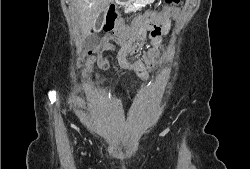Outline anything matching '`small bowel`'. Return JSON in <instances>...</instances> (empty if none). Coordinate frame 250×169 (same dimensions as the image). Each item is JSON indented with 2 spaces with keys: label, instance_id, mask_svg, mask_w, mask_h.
<instances>
[{
  "label": "small bowel",
  "instance_id": "c3829d8e",
  "mask_svg": "<svg viewBox=\"0 0 250 169\" xmlns=\"http://www.w3.org/2000/svg\"><path fill=\"white\" fill-rule=\"evenodd\" d=\"M153 24V23H152ZM138 26V22H134L133 25L129 28L125 27V29L121 32L115 34H108L104 36L98 46L97 49L94 50L92 55V61L97 62L100 66H108L107 59L99 60V56L104 53L106 50H110L114 47L115 44L120 45V50L117 55V60L121 67L127 69H133L137 75L143 76L145 73V67L142 61H136L135 63H130L127 61L126 57L130 53H136L141 48V45L134 44V38L132 36L135 33V30ZM169 30V24L164 23L162 26V34L166 35ZM154 45L156 48H153L145 53L144 61L147 65L149 71H154L156 68L157 60L160 55L161 39L159 36L153 39ZM98 81L99 78H96Z\"/></svg>",
  "mask_w": 250,
  "mask_h": 169
}]
</instances>
